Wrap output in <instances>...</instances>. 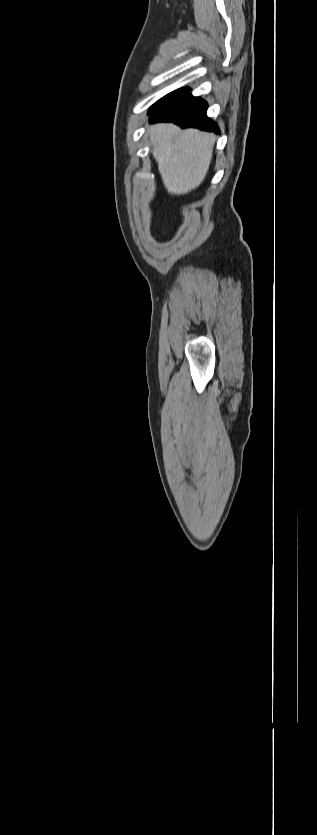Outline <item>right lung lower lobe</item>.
I'll list each match as a JSON object with an SVG mask.
<instances>
[{"label": "right lung lower lobe", "mask_w": 317, "mask_h": 835, "mask_svg": "<svg viewBox=\"0 0 317 835\" xmlns=\"http://www.w3.org/2000/svg\"><path fill=\"white\" fill-rule=\"evenodd\" d=\"M150 121H167L181 128L194 127L219 133L215 122L207 117V103L191 94L183 95L164 106L150 111Z\"/></svg>", "instance_id": "obj_1"}]
</instances>
